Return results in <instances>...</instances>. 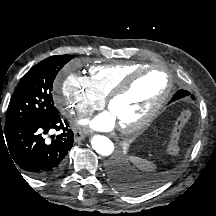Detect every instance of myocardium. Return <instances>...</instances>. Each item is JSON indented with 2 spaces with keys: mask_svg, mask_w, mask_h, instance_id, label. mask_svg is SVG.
Here are the masks:
<instances>
[{
  "mask_svg": "<svg viewBox=\"0 0 216 216\" xmlns=\"http://www.w3.org/2000/svg\"><path fill=\"white\" fill-rule=\"evenodd\" d=\"M152 71H160L166 77L167 79L166 89L163 92V94L158 98V100L155 102V104L151 107V109L141 119L128 125L119 126V129L124 134H133L144 129L158 115V113L161 111V109L167 103V101L171 96L172 89H173L172 79L168 74V72L160 67H156V66L141 67L133 71L132 73H130L128 76H126V78L123 79L108 94L106 98V105L110 109L112 102L114 100L127 94L132 89L133 85L139 78Z\"/></svg>",
  "mask_w": 216,
  "mask_h": 216,
  "instance_id": "obj_1",
  "label": "myocardium"
}]
</instances>
